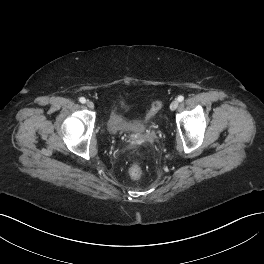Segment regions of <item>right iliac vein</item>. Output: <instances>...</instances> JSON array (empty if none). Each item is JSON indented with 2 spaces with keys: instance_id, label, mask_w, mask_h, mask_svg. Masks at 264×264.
<instances>
[{
  "instance_id": "obj_1",
  "label": "right iliac vein",
  "mask_w": 264,
  "mask_h": 264,
  "mask_svg": "<svg viewBox=\"0 0 264 264\" xmlns=\"http://www.w3.org/2000/svg\"><path fill=\"white\" fill-rule=\"evenodd\" d=\"M86 105L89 109H94V103L92 101H87Z\"/></svg>"
}]
</instances>
